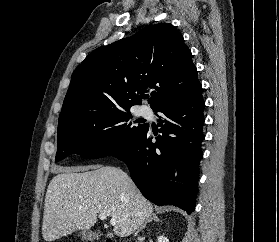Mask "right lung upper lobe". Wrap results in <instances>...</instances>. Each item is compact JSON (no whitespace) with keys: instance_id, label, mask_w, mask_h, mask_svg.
<instances>
[{"instance_id":"1","label":"right lung upper lobe","mask_w":279,"mask_h":242,"mask_svg":"<svg viewBox=\"0 0 279 242\" xmlns=\"http://www.w3.org/2000/svg\"><path fill=\"white\" fill-rule=\"evenodd\" d=\"M200 85L181 33L159 23L91 52L73 72L58 124L130 111L154 89L151 108Z\"/></svg>"}]
</instances>
